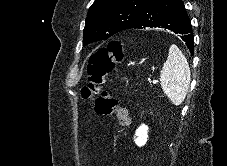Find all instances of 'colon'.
Returning <instances> with one entry per match:
<instances>
[{"mask_svg": "<svg viewBox=\"0 0 227 166\" xmlns=\"http://www.w3.org/2000/svg\"><path fill=\"white\" fill-rule=\"evenodd\" d=\"M123 58V47L120 41L113 40L107 47L100 48L90 58L87 84L82 88L81 95L85 100L95 102V112L100 116L115 115L119 124L127 128L130 124L128 111L117 97L110 92H102L101 86L116 63Z\"/></svg>", "mask_w": 227, "mask_h": 166, "instance_id": "obj_1", "label": "colon"}]
</instances>
